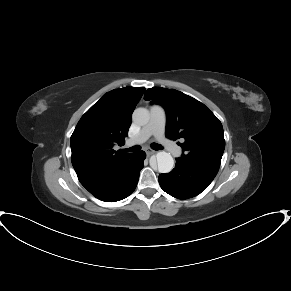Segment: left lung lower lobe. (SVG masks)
Returning a JSON list of instances; mask_svg holds the SVG:
<instances>
[{"mask_svg":"<svg viewBox=\"0 0 291 291\" xmlns=\"http://www.w3.org/2000/svg\"><path fill=\"white\" fill-rule=\"evenodd\" d=\"M218 168L176 159L175 168L158 177L161 188L178 199H188L200 194L212 182Z\"/></svg>","mask_w":291,"mask_h":291,"instance_id":"1","label":"left lung lower lobe"}]
</instances>
